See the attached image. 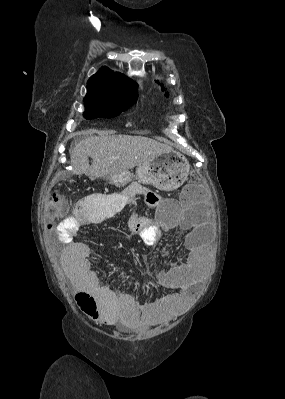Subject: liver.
<instances>
[{
	"mask_svg": "<svg viewBox=\"0 0 285 399\" xmlns=\"http://www.w3.org/2000/svg\"><path fill=\"white\" fill-rule=\"evenodd\" d=\"M166 144L142 136H92L77 143L70 153L72 172L91 179L119 177L129 170L151 161L158 153L171 150ZM92 158L89 165L88 158Z\"/></svg>",
	"mask_w": 285,
	"mask_h": 399,
	"instance_id": "obj_1",
	"label": "liver"
}]
</instances>
